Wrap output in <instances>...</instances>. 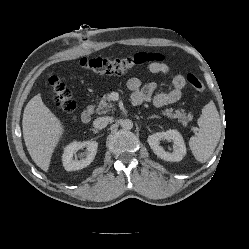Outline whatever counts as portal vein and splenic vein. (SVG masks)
Segmentation results:
<instances>
[{
	"mask_svg": "<svg viewBox=\"0 0 249 249\" xmlns=\"http://www.w3.org/2000/svg\"><path fill=\"white\" fill-rule=\"evenodd\" d=\"M192 130H193V131H197V128H196V127H192Z\"/></svg>",
	"mask_w": 249,
	"mask_h": 249,
	"instance_id": "portal-vein-and-splenic-vein-1",
	"label": "portal vein and splenic vein"
}]
</instances>
